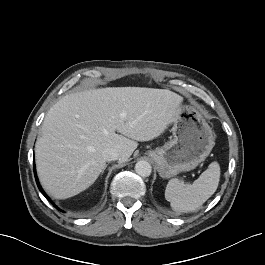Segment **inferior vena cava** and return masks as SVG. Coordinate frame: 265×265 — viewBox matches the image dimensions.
I'll list each match as a JSON object with an SVG mask.
<instances>
[{
	"mask_svg": "<svg viewBox=\"0 0 265 265\" xmlns=\"http://www.w3.org/2000/svg\"><path fill=\"white\" fill-rule=\"evenodd\" d=\"M102 156H103L104 160L107 162L115 161V160H118V158H119L118 152L112 148L106 149L103 152Z\"/></svg>",
	"mask_w": 265,
	"mask_h": 265,
	"instance_id": "inferior-vena-cava-1",
	"label": "inferior vena cava"
}]
</instances>
